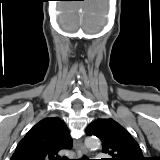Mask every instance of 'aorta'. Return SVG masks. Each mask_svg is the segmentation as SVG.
<instances>
[{"label":"aorta","instance_id":"762f6f07","mask_svg":"<svg viewBox=\"0 0 160 160\" xmlns=\"http://www.w3.org/2000/svg\"><path fill=\"white\" fill-rule=\"evenodd\" d=\"M85 145L90 149H97L100 147V140L96 137H88L85 140Z\"/></svg>","mask_w":160,"mask_h":160}]
</instances>
